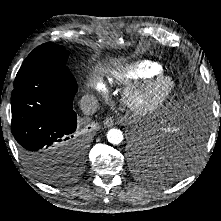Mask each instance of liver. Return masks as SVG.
I'll return each instance as SVG.
<instances>
[{
    "mask_svg": "<svg viewBox=\"0 0 221 221\" xmlns=\"http://www.w3.org/2000/svg\"><path fill=\"white\" fill-rule=\"evenodd\" d=\"M111 64L115 67L118 66V62L114 60L110 61L108 64H99L93 67V74L96 75L104 70H108Z\"/></svg>",
    "mask_w": 221,
    "mask_h": 221,
    "instance_id": "1",
    "label": "liver"
}]
</instances>
